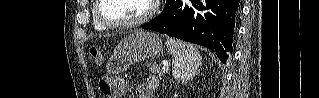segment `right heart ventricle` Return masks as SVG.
Segmentation results:
<instances>
[{
    "instance_id": "e07e8e85",
    "label": "right heart ventricle",
    "mask_w": 319,
    "mask_h": 98,
    "mask_svg": "<svg viewBox=\"0 0 319 98\" xmlns=\"http://www.w3.org/2000/svg\"><path fill=\"white\" fill-rule=\"evenodd\" d=\"M93 26L97 31H103L106 27L102 26L95 17V7H93Z\"/></svg>"
}]
</instances>
